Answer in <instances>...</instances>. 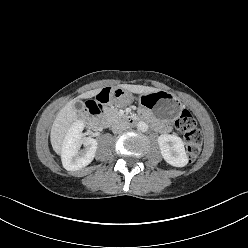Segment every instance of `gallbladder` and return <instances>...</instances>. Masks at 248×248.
I'll list each match as a JSON object with an SVG mask.
<instances>
[{"label": "gallbladder", "instance_id": "bac80fb5", "mask_svg": "<svg viewBox=\"0 0 248 248\" xmlns=\"http://www.w3.org/2000/svg\"><path fill=\"white\" fill-rule=\"evenodd\" d=\"M74 106L78 111H81L84 108L83 102L79 100L75 102Z\"/></svg>", "mask_w": 248, "mask_h": 248}]
</instances>
